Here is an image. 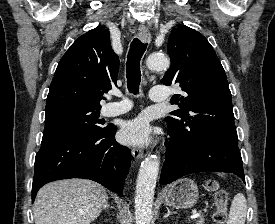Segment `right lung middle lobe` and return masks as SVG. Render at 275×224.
Returning a JSON list of instances; mask_svg holds the SVG:
<instances>
[{"label": "right lung middle lobe", "mask_w": 275, "mask_h": 224, "mask_svg": "<svg viewBox=\"0 0 275 224\" xmlns=\"http://www.w3.org/2000/svg\"><path fill=\"white\" fill-rule=\"evenodd\" d=\"M100 108L68 106L45 114V131L66 130L83 134H97L106 127L98 120Z\"/></svg>", "instance_id": "1"}]
</instances>
